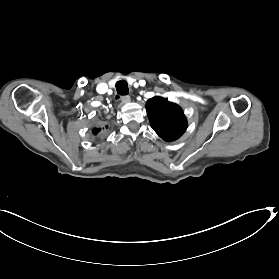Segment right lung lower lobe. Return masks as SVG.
<instances>
[{"label": "right lung lower lobe", "mask_w": 279, "mask_h": 279, "mask_svg": "<svg viewBox=\"0 0 279 279\" xmlns=\"http://www.w3.org/2000/svg\"><path fill=\"white\" fill-rule=\"evenodd\" d=\"M99 131H100V129H94V130H93V133H94V134H97Z\"/></svg>", "instance_id": "1"}]
</instances>
